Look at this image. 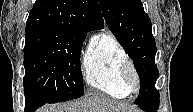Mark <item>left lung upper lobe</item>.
<instances>
[{"mask_svg":"<svg viewBox=\"0 0 193 112\" xmlns=\"http://www.w3.org/2000/svg\"><path fill=\"white\" fill-rule=\"evenodd\" d=\"M99 5L116 39L133 60L140 77L138 106L150 103L159 97L155 83L159 72L155 64L156 44L152 24L144 12L140 0H99Z\"/></svg>","mask_w":193,"mask_h":112,"instance_id":"5c2ea615","label":"left lung upper lobe"}]
</instances>
